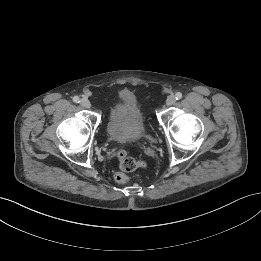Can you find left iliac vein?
<instances>
[{"instance_id":"left-iliac-vein-1","label":"left iliac vein","mask_w":261,"mask_h":261,"mask_svg":"<svg viewBox=\"0 0 261 261\" xmlns=\"http://www.w3.org/2000/svg\"><path fill=\"white\" fill-rule=\"evenodd\" d=\"M175 102H176V98H175L174 95H169V96L167 97V99H166V104H167V106H172V105L175 104Z\"/></svg>"}]
</instances>
